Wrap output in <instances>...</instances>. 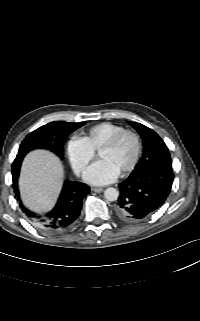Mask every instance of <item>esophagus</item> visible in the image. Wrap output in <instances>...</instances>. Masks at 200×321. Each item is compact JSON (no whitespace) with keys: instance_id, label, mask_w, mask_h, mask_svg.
<instances>
[{"instance_id":"1","label":"esophagus","mask_w":200,"mask_h":321,"mask_svg":"<svg viewBox=\"0 0 200 321\" xmlns=\"http://www.w3.org/2000/svg\"><path fill=\"white\" fill-rule=\"evenodd\" d=\"M103 188H99V187H95V188H92V191H94V192H97V193H101V192H103Z\"/></svg>"}]
</instances>
